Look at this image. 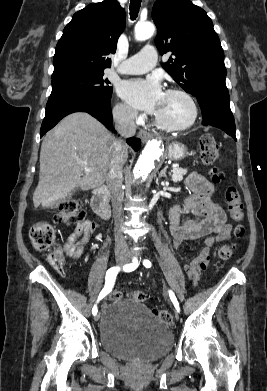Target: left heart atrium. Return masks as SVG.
Segmentation results:
<instances>
[{
	"label": "left heart atrium",
	"instance_id": "39dd6f15",
	"mask_svg": "<svg viewBox=\"0 0 267 391\" xmlns=\"http://www.w3.org/2000/svg\"><path fill=\"white\" fill-rule=\"evenodd\" d=\"M120 95L132 106L151 114H157L165 93L155 77L133 79L122 84Z\"/></svg>",
	"mask_w": 267,
	"mask_h": 391
}]
</instances>
